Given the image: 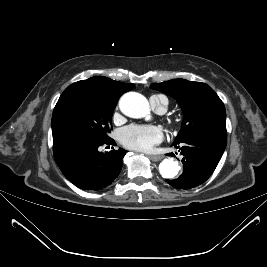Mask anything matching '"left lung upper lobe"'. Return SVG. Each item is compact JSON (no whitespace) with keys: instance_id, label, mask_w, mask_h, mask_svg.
<instances>
[{"instance_id":"1","label":"left lung upper lobe","mask_w":267,"mask_h":267,"mask_svg":"<svg viewBox=\"0 0 267 267\" xmlns=\"http://www.w3.org/2000/svg\"><path fill=\"white\" fill-rule=\"evenodd\" d=\"M151 88L172 96L183 110L182 128L174 143L204 134L227 136L224 104L207 84L173 79L152 84Z\"/></svg>"}]
</instances>
